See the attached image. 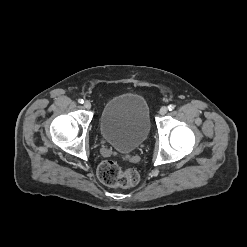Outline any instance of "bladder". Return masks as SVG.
Listing matches in <instances>:
<instances>
[{"mask_svg": "<svg viewBox=\"0 0 247 247\" xmlns=\"http://www.w3.org/2000/svg\"><path fill=\"white\" fill-rule=\"evenodd\" d=\"M99 125L105 142L121 153H130L149 135L148 104L142 96L134 93L115 96L104 105Z\"/></svg>", "mask_w": 247, "mask_h": 247, "instance_id": "obj_1", "label": "bladder"}]
</instances>
